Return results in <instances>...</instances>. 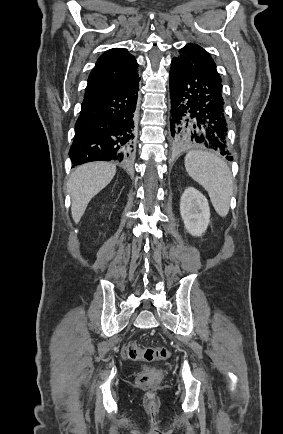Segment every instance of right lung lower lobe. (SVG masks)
Listing matches in <instances>:
<instances>
[{"label": "right lung lower lobe", "instance_id": "obj_1", "mask_svg": "<svg viewBox=\"0 0 283 434\" xmlns=\"http://www.w3.org/2000/svg\"><path fill=\"white\" fill-rule=\"evenodd\" d=\"M139 81L83 100L69 151L74 165L131 158Z\"/></svg>", "mask_w": 283, "mask_h": 434}]
</instances>
